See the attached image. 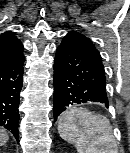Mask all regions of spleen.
<instances>
[{
    "label": "spleen",
    "mask_w": 130,
    "mask_h": 153,
    "mask_svg": "<svg viewBox=\"0 0 130 153\" xmlns=\"http://www.w3.org/2000/svg\"><path fill=\"white\" fill-rule=\"evenodd\" d=\"M59 135L75 145L78 153H117L109 120L87 109L65 111L58 124Z\"/></svg>",
    "instance_id": "1"
}]
</instances>
